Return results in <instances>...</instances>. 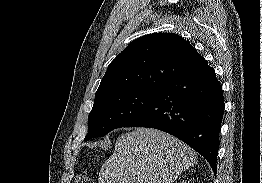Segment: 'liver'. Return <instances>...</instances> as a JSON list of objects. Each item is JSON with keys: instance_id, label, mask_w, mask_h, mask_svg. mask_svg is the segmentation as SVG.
<instances>
[{"instance_id": "liver-1", "label": "liver", "mask_w": 262, "mask_h": 183, "mask_svg": "<svg viewBox=\"0 0 262 183\" xmlns=\"http://www.w3.org/2000/svg\"><path fill=\"white\" fill-rule=\"evenodd\" d=\"M196 163V153L176 137L153 128L119 136L102 165L99 183H173Z\"/></svg>"}]
</instances>
